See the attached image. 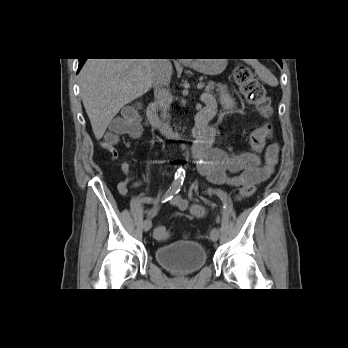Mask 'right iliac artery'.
Masks as SVG:
<instances>
[{"label": "right iliac artery", "instance_id": "82829eb1", "mask_svg": "<svg viewBox=\"0 0 348 348\" xmlns=\"http://www.w3.org/2000/svg\"><path fill=\"white\" fill-rule=\"evenodd\" d=\"M182 171L180 170L178 171V173L175 174V179L172 185L170 186V188L167 190V192L163 195L161 199L162 202H166L170 200L175 194H177L180 191L184 181V177H185V171L184 170ZM145 201L154 202V203L158 202V200H156V197L154 195L143 196L142 203H145Z\"/></svg>", "mask_w": 348, "mask_h": 348}]
</instances>
